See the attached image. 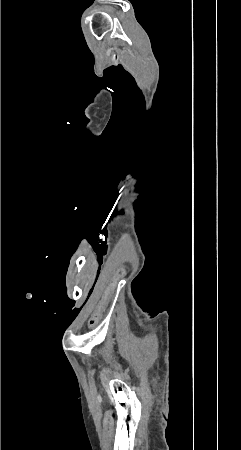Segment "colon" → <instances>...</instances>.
<instances>
[{
	"mask_svg": "<svg viewBox=\"0 0 241 450\" xmlns=\"http://www.w3.org/2000/svg\"><path fill=\"white\" fill-rule=\"evenodd\" d=\"M119 275L124 274V270L120 269L118 271ZM115 286L116 283L114 281H111L109 285L106 287V290L104 291L103 297L100 298V302L98 303L94 314L89 319V327H93L97 324L99 317H103L105 314V311L107 310L108 306L111 305V300L113 293L115 292Z\"/></svg>",
	"mask_w": 241,
	"mask_h": 450,
	"instance_id": "5ec220e1",
	"label": "colon"
}]
</instances>
